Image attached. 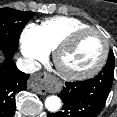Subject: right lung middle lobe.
Returning a JSON list of instances; mask_svg holds the SVG:
<instances>
[{"label":"right lung middle lobe","instance_id":"obj_1","mask_svg":"<svg viewBox=\"0 0 117 117\" xmlns=\"http://www.w3.org/2000/svg\"><path fill=\"white\" fill-rule=\"evenodd\" d=\"M35 15V12H24L12 8L0 9V48L14 54L23 27Z\"/></svg>","mask_w":117,"mask_h":117}]
</instances>
